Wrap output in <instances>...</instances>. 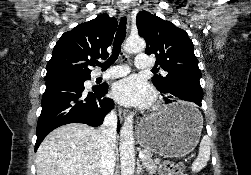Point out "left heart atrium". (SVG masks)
Instances as JSON below:
<instances>
[{
    "label": "left heart atrium",
    "instance_id": "1",
    "mask_svg": "<svg viewBox=\"0 0 251 175\" xmlns=\"http://www.w3.org/2000/svg\"><path fill=\"white\" fill-rule=\"evenodd\" d=\"M113 97L126 105L149 106L154 101V92L138 76H129L116 82L112 88Z\"/></svg>",
    "mask_w": 251,
    "mask_h": 175
}]
</instances>
